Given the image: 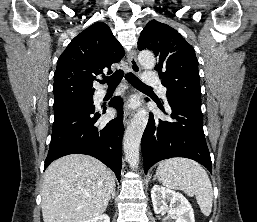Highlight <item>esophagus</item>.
I'll list each match as a JSON object with an SVG mask.
<instances>
[{
	"label": "esophagus",
	"mask_w": 257,
	"mask_h": 222,
	"mask_svg": "<svg viewBox=\"0 0 257 222\" xmlns=\"http://www.w3.org/2000/svg\"><path fill=\"white\" fill-rule=\"evenodd\" d=\"M128 63L130 66V69L133 73L139 74L140 73V66L136 59V52L132 50L128 55ZM133 112L130 110H126L124 113V125H127L131 118H132Z\"/></svg>",
	"instance_id": "esophagus-1"
}]
</instances>
